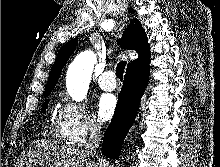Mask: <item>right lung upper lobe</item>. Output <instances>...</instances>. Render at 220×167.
Listing matches in <instances>:
<instances>
[{
  "mask_svg": "<svg viewBox=\"0 0 220 167\" xmlns=\"http://www.w3.org/2000/svg\"><path fill=\"white\" fill-rule=\"evenodd\" d=\"M121 47L129 50H135L139 54V58L128 64L127 69L138 67L140 65L149 64L150 62V47L147 44V37L142 25L138 19L130 21V25L124 31L121 39L118 40ZM77 46V39H72L66 43L58 52L55 63L51 68L48 82L45 89V96H48L55 87L62 68L67 62L69 56L73 53Z\"/></svg>",
  "mask_w": 220,
  "mask_h": 167,
  "instance_id": "1",
  "label": "right lung upper lobe"
}]
</instances>
